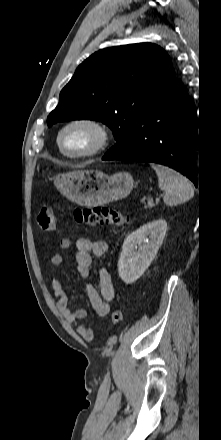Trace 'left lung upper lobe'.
<instances>
[{
    "label": "left lung upper lobe",
    "mask_w": 221,
    "mask_h": 440,
    "mask_svg": "<svg viewBox=\"0 0 221 440\" xmlns=\"http://www.w3.org/2000/svg\"><path fill=\"white\" fill-rule=\"evenodd\" d=\"M175 76L168 54L152 43L102 49L83 61L62 89L48 126L76 119L99 120L117 143L106 154H120L142 112Z\"/></svg>",
    "instance_id": "left-lung-upper-lobe-1"
}]
</instances>
